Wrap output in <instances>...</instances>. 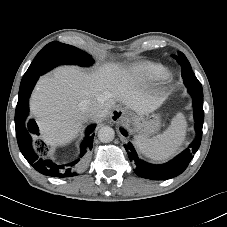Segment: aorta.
Masks as SVG:
<instances>
[{
    "mask_svg": "<svg viewBox=\"0 0 227 227\" xmlns=\"http://www.w3.org/2000/svg\"><path fill=\"white\" fill-rule=\"evenodd\" d=\"M115 137V131L110 126H103L98 131V139L103 143H109L113 141Z\"/></svg>",
    "mask_w": 227,
    "mask_h": 227,
    "instance_id": "aorta-1",
    "label": "aorta"
}]
</instances>
